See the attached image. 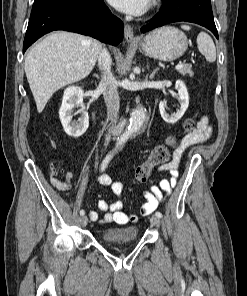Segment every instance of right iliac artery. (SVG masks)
Returning <instances> with one entry per match:
<instances>
[{"mask_svg": "<svg viewBox=\"0 0 247 296\" xmlns=\"http://www.w3.org/2000/svg\"><path fill=\"white\" fill-rule=\"evenodd\" d=\"M113 156V153H110L108 154L105 159L103 160L102 164H101V171H104L106 169V167L108 166V163L110 162L111 158ZM85 214V211L84 210H81L80 211V215H84Z\"/></svg>", "mask_w": 247, "mask_h": 296, "instance_id": "82829eb1", "label": "right iliac artery"}]
</instances>
